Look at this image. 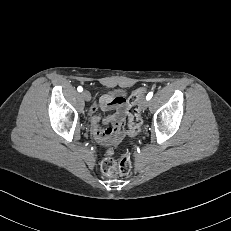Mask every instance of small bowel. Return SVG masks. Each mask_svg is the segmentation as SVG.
Instances as JSON below:
<instances>
[{
    "instance_id": "obj_1",
    "label": "small bowel",
    "mask_w": 231,
    "mask_h": 231,
    "mask_svg": "<svg viewBox=\"0 0 231 231\" xmlns=\"http://www.w3.org/2000/svg\"><path fill=\"white\" fill-rule=\"evenodd\" d=\"M100 107L103 110L115 109L116 111L107 118H101L95 114L98 106L93 105L91 107V128L94 137L101 144H117L125 134L124 121L127 108L126 97L120 91L111 94H103L100 97Z\"/></svg>"
}]
</instances>
